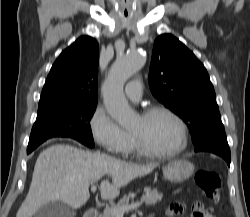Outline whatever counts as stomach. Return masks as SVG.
Returning <instances> with one entry per match:
<instances>
[{"mask_svg": "<svg viewBox=\"0 0 250 217\" xmlns=\"http://www.w3.org/2000/svg\"><path fill=\"white\" fill-rule=\"evenodd\" d=\"M194 172V166L187 160H175L163 168V176L173 183H180L188 179Z\"/></svg>", "mask_w": 250, "mask_h": 217, "instance_id": "obj_1", "label": "stomach"}]
</instances>
